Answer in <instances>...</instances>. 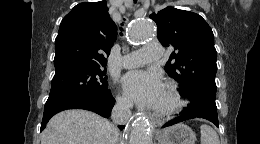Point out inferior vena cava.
<instances>
[{
  "mask_svg": "<svg viewBox=\"0 0 260 144\" xmlns=\"http://www.w3.org/2000/svg\"><path fill=\"white\" fill-rule=\"evenodd\" d=\"M133 104L125 99H117L111 113L113 126L118 132L117 125H124L131 116V108ZM118 140V139H117ZM117 144V142H116Z\"/></svg>",
  "mask_w": 260,
  "mask_h": 144,
  "instance_id": "obj_1",
  "label": "inferior vena cava"
}]
</instances>
